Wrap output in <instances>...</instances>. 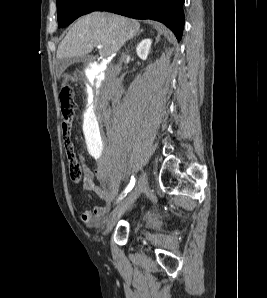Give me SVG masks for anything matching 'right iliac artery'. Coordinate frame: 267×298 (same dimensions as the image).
Listing matches in <instances>:
<instances>
[{
  "label": "right iliac artery",
  "instance_id": "right-iliac-artery-1",
  "mask_svg": "<svg viewBox=\"0 0 267 298\" xmlns=\"http://www.w3.org/2000/svg\"><path fill=\"white\" fill-rule=\"evenodd\" d=\"M135 184V178L132 176L129 184L127 185L126 189L119 195V197L116 200V204L119 203L126 195L127 193L132 190Z\"/></svg>",
  "mask_w": 267,
  "mask_h": 298
}]
</instances>
